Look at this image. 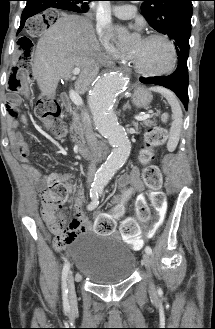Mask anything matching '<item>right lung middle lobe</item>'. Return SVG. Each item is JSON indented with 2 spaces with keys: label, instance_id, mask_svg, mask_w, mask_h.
<instances>
[{
  "label": "right lung middle lobe",
  "instance_id": "right-lung-middle-lobe-1",
  "mask_svg": "<svg viewBox=\"0 0 215 329\" xmlns=\"http://www.w3.org/2000/svg\"><path fill=\"white\" fill-rule=\"evenodd\" d=\"M87 0H65L67 5L75 12L86 13L88 11Z\"/></svg>",
  "mask_w": 215,
  "mask_h": 329
}]
</instances>
